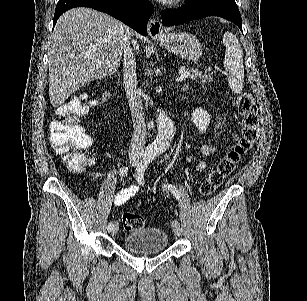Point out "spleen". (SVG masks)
Wrapping results in <instances>:
<instances>
[{"label": "spleen", "instance_id": "obj_1", "mask_svg": "<svg viewBox=\"0 0 307 301\" xmlns=\"http://www.w3.org/2000/svg\"><path fill=\"white\" fill-rule=\"evenodd\" d=\"M223 42L226 48L224 66L229 72L228 84L232 92L240 94L244 82V60L241 44L233 32H224Z\"/></svg>", "mask_w": 307, "mask_h": 301}]
</instances>
